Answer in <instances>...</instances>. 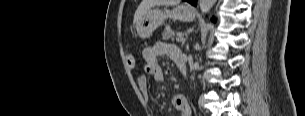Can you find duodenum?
<instances>
[{"mask_svg": "<svg viewBox=\"0 0 305 116\" xmlns=\"http://www.w3.org/2000/svg\"><path fill=\"white\" fill-rule=\"evenodd\" d=\"M175 64L178 67L181 75L185 78L186 77V61H185V58L183 56L177 58L175 60Z\"/></svg>", "mask_w": 305, "mask_h": 116, "instance_id": "obj_1", "label": "duodenum"}]
</instances>
